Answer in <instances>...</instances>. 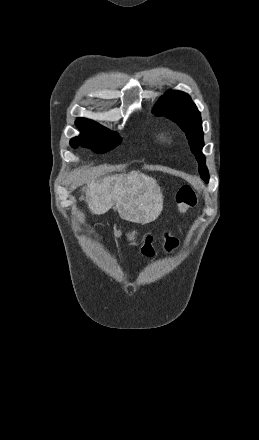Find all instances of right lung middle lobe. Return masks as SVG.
Returning a JSON list of instances; mask_svg holds the SVG:
<instances>
[{"instance_id": "right-lung-middle-lobe-1", "label": "right lung middle lobe", "mask_w": 259, "mask_h": 440, "mask_svg": "<svg viewBox=\"0 0 259 440\" xmlns=\"http://www.w3.org/2000/svg\"><path fill=\"white\" fill-rule=\"evenodd\" d=\"M76 125L81 130V135L71 139L70 145L74 149L81 146L104 153L114 149L121 142L116 133L90 119L78 118Z\"/></svg>"}]
</instances>
